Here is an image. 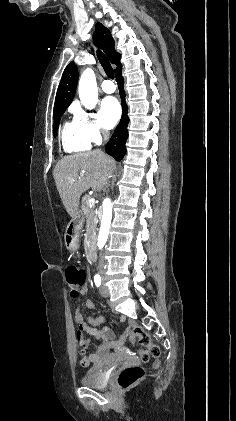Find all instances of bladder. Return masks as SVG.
<instances>
[{
    "instance_id": "1",
    "label": "bladder",
    "mask_w": 236,
    "mask_h": 421,
    "mask_svg": "<svg viewBox=\"0 0 236 421\" xmlns=\"http://www.w3.org/2000/svg\"><path fill=\"white\" fill-rule=\"evenodd\" d=\"M80 383L86 386L105 387L107 382L97 368L91 367L83 372Z\"/></svg>"
}]
</instances>
